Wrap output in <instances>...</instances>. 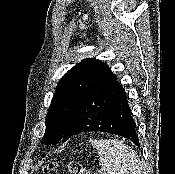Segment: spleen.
Returning a JSON list of instances; mask_svg holds the SVG:
<instances>
[{"label":"spleen","instance_id":"1","mask_svg":"<svg viewBox=\"0 0 175 174\" xmlns=\"http://www.w3.org/2000/svg\"><path fill=\"white\" fill-rule=\"evenodd\" d=\"M92 147L98 150L99 165L104 174H140L137 153L117 139H91Z\"/></svg>","mask_w":175,"mask_h":174}]
</instances>
